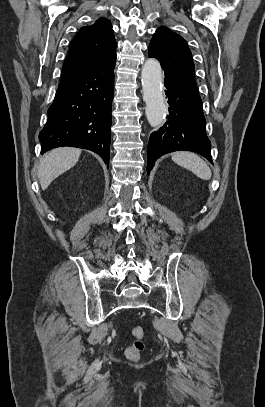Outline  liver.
<instances>
[{
	"label": "liver",
	"mask_w": 265,
	"mask_h": 407,
	"mask_svg": "<svg viewBox=\"0 0 265 407\" xmlns=\"http://www.w3.org/2000/svg\"><path fill=\"white\" fill-rule=\"evenodd\" d=\"M80 154V149L72 147H60L46 153L38 168L41 188L46 190L53 180L74 167Z\"/></svg>",
	"instance_id": "1"
}]
</instances>
